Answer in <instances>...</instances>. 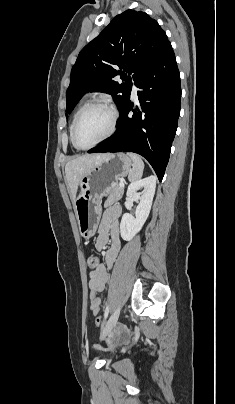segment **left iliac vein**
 <instances>
[{
  "mask_svg": "<svg viewBox=\"0 0 235 404\" xmlns=\"http://www.w3.org/2000/svg\"><path fill=\"white\" fill-rule=\"evenodd\" d=\"M120 314V307H118L114 313L111 315V317L108 319L105 327L102 330L100 339L103 340L114 328V326L116 325L117 321H118V317Z\"/></svg>",
  "mask_w": 235,
  "mask_h": 404,
  "instance_id": "obj_1",
  "label": "left iliac vein"
}]
</instances>
